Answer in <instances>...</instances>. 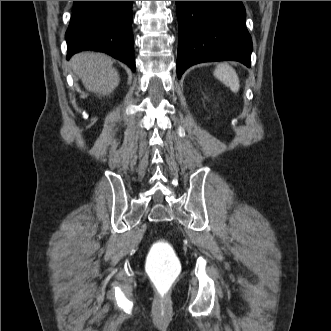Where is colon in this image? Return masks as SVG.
Segmentation results:
<instances>
[{"mask_svg":"<svg viewBox=\"0 0 331 331\" xmlns=\"http://www.w3.org/2000/svg\"><path fill=\"white\" fill-rule=\"evenodd\" d=\"M146 272L159 297L166 300L181 274L180 261L167 241L159 240L152 245L146 261Z\"/></svg>","mask_w":331,"mask_h":331,"instance_id":"1","label":"colon"}]
</instances>
